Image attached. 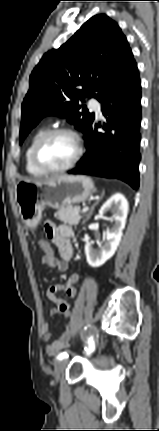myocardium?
<instances>
[{
  "instance_id": "myocardium-1",
  "label": "myocardium",
  "mask_w": 159,
  "mask_h": 431,
  "mask_svg": "<svg viewBox=\"0 0 159 431\" xmlns=\"http://www.w3.org/2000/svg\"><path fill=\"white\" fill-rule=\"evenodd\" d=\"M59 134H67L73 138L75 145H76V153H75L73 159L68 164H66L65 166L59 167V168H53V167L46 165L45 163H43L41 161L40 150H41L43 144L48 139H50L51 137H53L55 135H59ZM83 153H84L83 143H82L80 136L78 135V133L76 131H74L73 129L68 128V127H56V128L46 130L37 139V141L35 142V144L33 146L32 159H33L34 164L43 172L55 174V173H63V172L70 170L71 168H73L79 162Z\"/></svg>"
}]
</instances>
